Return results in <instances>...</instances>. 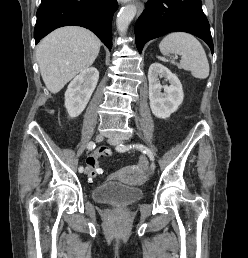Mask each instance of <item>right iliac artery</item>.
<instances>
[{"label":"right iliac artery","mask_w":248,"mask_h":258,"mask_svg":"<svg viewBox=\"0 0 248 258\" xmlns=\"http://www.w3.org/2000/svg\"><path fill=\"white\" fill-rule=\"evenodd\" d=\"M96 144L93 141H90L87 145V148L89 150H93L95 148ZM79 172L82 173L84 171V168L82 166L79 167Z\"/></svg>","instance_id":"obj_1"}]
</instances>
